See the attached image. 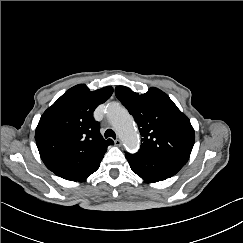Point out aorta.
I'll return each mask as SVG.
<instances>
[{
    "mask_svg": "<svg viewBox=\"0 0 243 243\" xmlns=\"http://www.w3.org/2000/svg\"><path fill=\"white\" fill-rule=\"evenodd\" d=\"M107 115L113 127L118 131L124 146L129 151H136L139 148V138L127 112L120 105L114 104L108 107Z\"/></svg>",
    "mask_w": 243,
    "mask_h": 243,
    "instance_id": "762f6f07",
    "label": "aorta"
}]
</instances>
